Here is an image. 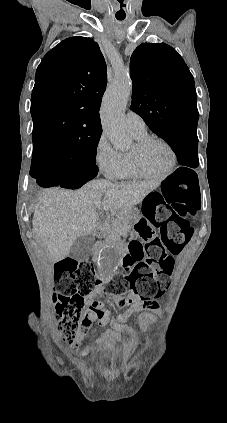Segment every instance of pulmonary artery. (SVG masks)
<instances>
[{"label":"pulmonary artery","mask_w":227,"mask_h":423,"mask_svg":"<svg viewBox=\"0 0 227 423\" xmlns=\"http://www.w3.org/2000/svg\"><path fill=\"white\" fill-rule=\"evenodd\" d=\"M126 125L132 133H145L146 125L143 118L135 112L129 111L126 114Z\"/></svg>","instance_id":"1"}]
</instances>
